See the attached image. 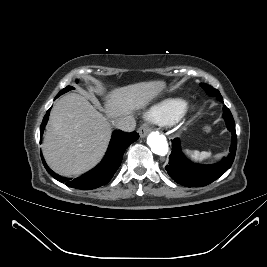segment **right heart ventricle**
Listing matches in <instances>:
<instances>
[{
  "label": "right heart ventricle",
  "instance_id": "e07e8e85",
  "mask_svg": "<svg viewBox=\"0 0 267 267\" xmlns=\"http://www.w3.org/2000/svg\"><path fill=\"white\" fill-rule=\"evenodd\" d=\"M186 107V101L180 98L164 100L147 111V117L161 125L173 123Z\"/></svg>",
  "mask_w": 267,
  "mask_h": 267
}]
</instances>
